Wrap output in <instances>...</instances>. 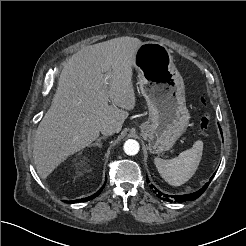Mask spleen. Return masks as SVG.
Instances as JSON below:
<instances>
[{"label": "spleen", "instance_id": "1", "mask_svg": "<svg viewBox=\"0 0 246 246\" xmlns=\"http://www.w3.org/2000/svg\"><path fill=\"white\" fill-rule=\"evenodd\" d=\"M203 141H196L192 148L177 157L164 160L156 157L154 163L160 176L172 186H181L195 174L202 158Z\"/></svg>", "mask_w": 246, "mask_h": 246}]
</instances>
